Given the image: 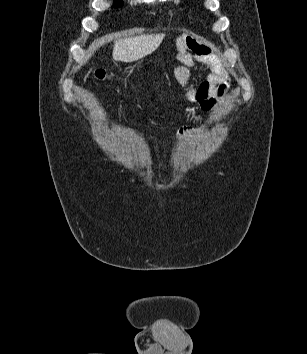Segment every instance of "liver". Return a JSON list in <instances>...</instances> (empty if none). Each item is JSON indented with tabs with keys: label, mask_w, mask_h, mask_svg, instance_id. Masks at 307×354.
Returning <instances> with one entry per match:
<instances>
[{
	"label": "liver",
	"mask_w": 307,
	"mask_h": 354,
	"mask_svg": "<svg viewBox=\"0 0 307 354\" xmlns=\"http://www.w3.org/2000/svg\"><path fill=\"white\" fill-rule=\"evenodd\" d=\"M163 38L164 34H156L119 39L113 47V60L125 63L138 61L153 53Z\"/></svg>",
	"instance_id": "1"
}]
</instances>
